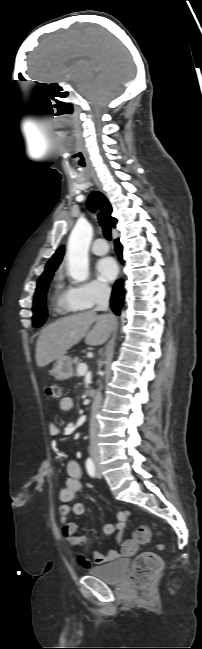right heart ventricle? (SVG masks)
<instances>
[{"mask_svg": "<svg viewBox=\"0 0 202 649\" xmlns=\"http://www.w3.org/2000/svg\"><path fill=\"white\" fill-rule=\"evenodd\" d=\"M69 289L64 282L63 276L58 275L54 280L51 295L52 307L55 312L67 314L77 310L67 300Z\"/></svg>", "mask_w": 202, "mask_h": 649, "instance_id": "right-heart-ventricle-1", "label": "right heart ventricle"}]
</instances>
